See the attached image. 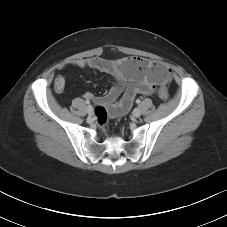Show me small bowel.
I'll return each instance as SVG.
<instances>
[{
	"label": "small bowel",
	"instance_id": "obj_1",
	"mask_svg": "<svg viewBox=\"0 0 227 227\" xmlns=\"http://www.w3.org/2000/svg\"><path fill=\"white\" fill-rule=\"evenodd\" d=\"M69 65L98 70L113 77V86L106 94L98 97L91 93L86 94L87 99L94 100L99 105L108 106L109 115L113 118L126 114L137 94H154L156 86L167 82L170 77L155 69L153 62L138 57L110 60L94 56L75 59ZM65 84V76H57L54 81L55 91L61 92Z\"/></svg>",
	"mask_w": 227,
	"mask_h": 227
}]
</instances>
